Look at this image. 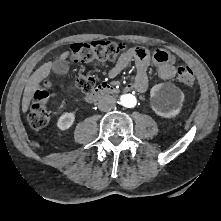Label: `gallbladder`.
<instances>
[{"label":"gallbladder","instance_id":"1","mask_svg":"<svg viewBox=\"0 0 221 221\" xmlns=\"http://www.w3.org/2000/svg\"><path fill=\"white\" fill-rule=\"evenodd\" d=\"M52 70L56 75H64L69 71V65L65 60L59 59L53 62Z\"/></svg>","mask_w":221,"mask_h":221}]
</instances>
